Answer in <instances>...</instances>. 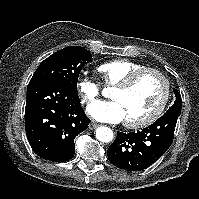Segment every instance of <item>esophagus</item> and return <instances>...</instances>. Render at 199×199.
I'll use <instances>...</instances> for the list:
<instances>
[{
  "label": "esophagus",
  "mask_w": 199,
  "mask_h": 199,
  "mask_svg": "<svg viewBox=\"0 0 199 199\" xmlns=\"http://www.w3.org/2000/svg\"><path fill=\"white\" fill-rule=\"evenodd\" d=\"M98 126H99V125H98L97 123L91 122V123L89 124V129L93 130V129H95V128L98 127Z\"/></svg>",
  "instance_id": "1"
}]
</instances>
